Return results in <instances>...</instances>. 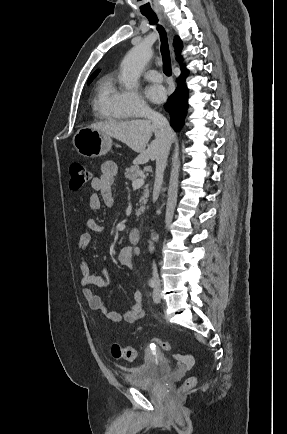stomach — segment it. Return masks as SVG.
Masks as SVG:
<instances>
[{"instance_id": "obj_1", "label": "stomach", "mask_w": 287, "mask_h": 434, "mask_svg": "<svg viewBox=\"0 0 287 434\" xmlns=\"http://www.w3.org/2000/svg\"><path fill=\"white\" fill-rule=\"evenodd\" d=\"M73 145L77 152L89 158L107 154L112 147L110 136L90 127L79 129L73 137Z\"/></svg>"}]
</instances>
